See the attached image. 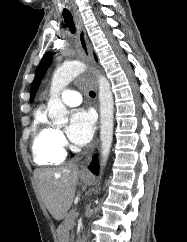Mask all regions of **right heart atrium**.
<instances>
[{
    "label": "right heart atrium",
    "instance_id": "1",
    "mask_svg": "<svg viewBox=\"0 0 187 242\" xmlns=\"http://www.w3.org/2000/svg\"><path fill=\"white\" fill-rule=\"evenodd\" d=\"M56 138H57V142L59 143L60 146H64L66 144V140H65L62 132L57 131Z\"/></svg>",
    "mask_w": 187,
    "mask_h": 242
}]
</instances>
